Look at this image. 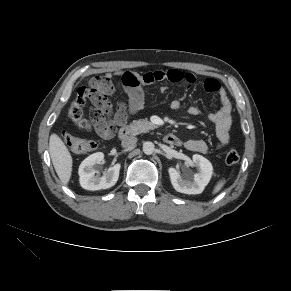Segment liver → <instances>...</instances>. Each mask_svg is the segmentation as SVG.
<instances>
[{"mask_svg":"<svg viewBox=\"0 0 291 291\" xmlns=\"http://www.w3.org/2000/svg\"><path fill=\"white\" fill-rule=\"evenodd\" d=\"M50 157L55 171L64 185H67L72 173V156L62 141L55 133L49 139Z\"/></svg>","mask_w":291,"mask_h":291,"instance_id":"obj_1","label":"liver"}]
</instances>
